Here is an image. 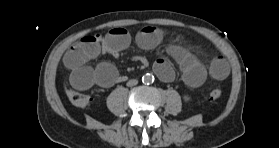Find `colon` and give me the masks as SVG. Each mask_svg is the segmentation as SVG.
Wrapping results in <instances>:
<instances>
[{
    "label": "colon",
    "mask_w": 279,
    "mask_h": 148,
    "mask_svg": "<svg viewBox=\"0 0 279 148\" xmlns=\"http://www.w3.org/2000/svg\"><path fill=\"white\" fill-rule=\"evenodd\" d=\"M67 95L71 101V103L78 107L84 108L90 103V97L88 95L76 92L70 88H67ZM222 96V91L219 88H213L207 91L206 98L209 101H215Z\"/></svg>",
    "instance_id": "1"
}]
</instances>
